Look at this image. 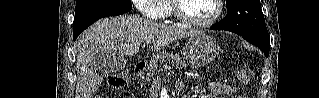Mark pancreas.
Wrapping results in <instances>:
<instances>
[{"mask_svg":"<svg viewBox=\"0 0 319 98\" xmlns=\"http://www.w3.org/2000/svg\"><path fill=\"white\" fill-rule=\"evenodd\" d=\"M170 60L175 61L177 63H180L183 67L187 66L185 64V62L182 61L181 58L176 54L169 53V52L158 53L156 56H154L152 62L150 63V66L147 70V80L149 81V78L153 76V74L157 68L158 62H163V61L169 62Z\"/></svg>","mask_w":319,"mask_h":98,"instance_id":"pancreas-1","label":"pancreas"}]
</instances>
